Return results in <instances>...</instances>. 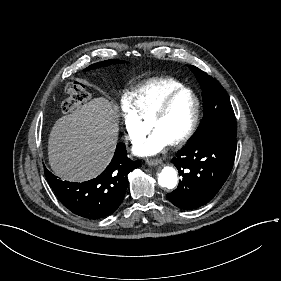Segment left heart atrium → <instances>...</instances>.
I'll list each match as a JSON object with an SVG mask.
<instances>
[{
  "mask_svg": "<svg viewBox=\"0 0 281 281\" xmlns=\"http://www.w3.org/2000/svg\"><path fill=\"white\" fill-rule=\"evenodd\" d=\"M169 141L157 132H152L148 138L139 143L134 152L140 157L155 156L166 149Z\"/></svg>",
  "mask_w": 281,
  "mask_h": 281,
  "instance_id": "1",
  "label": "left heart atrium"
}]
</instances>
